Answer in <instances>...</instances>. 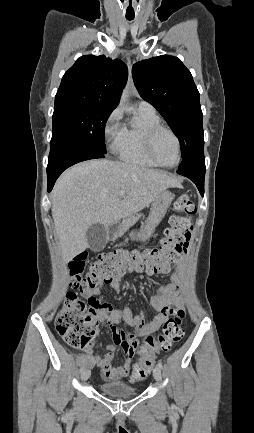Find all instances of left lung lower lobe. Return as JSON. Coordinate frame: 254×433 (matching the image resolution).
Returning a JSON list of instances; mask_svg holds the SVG:
<instances>
[{"label":"left lung lower lobe","mask_w":254,"mask_h":433,"mask_svg":"<svg viewBox=\"0 0 254 433\" xmlns=\"http://www.w3.org/2000/svg\"><path fill=\"white\" fill-rule=\"evenodd\" d=\"M178 174L188 177L190 180H192L200 194L204 195V177H205V171L198 170L195 168H188V169H179L177 171Z\"/></svg>","instance_id":"1"}]
</instances>
